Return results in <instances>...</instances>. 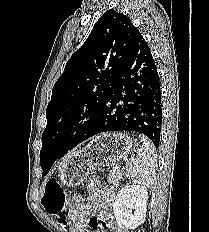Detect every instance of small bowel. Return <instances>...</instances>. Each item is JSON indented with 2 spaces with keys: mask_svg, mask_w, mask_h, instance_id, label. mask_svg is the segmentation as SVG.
Returning a JSON list of instances; mask_svg holds the SVG:
<instances>
[{
  "mask_svg": "<svg viewBox=\"0 0 209 232\" xmlns=\"http://www.w3.org/2000/svg\"><path fill=\"white\" fill-rule=\"evenodd\" d=\"M114 202L112 191L94 179L88 184V195L79 200L68 212L69 232H123L115 222L111 209Z\"/></svg>",
  "mask_w": 209,
  "mask_h": 232,
  "instance_id": "obj_1",
  "label": "small bowel"
}]
</instances>
